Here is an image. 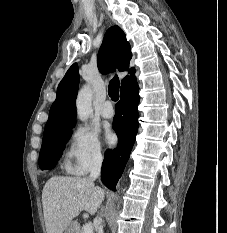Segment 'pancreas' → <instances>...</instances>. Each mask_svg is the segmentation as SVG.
Masks as SVG:
<instances>
[{
  "mask_svg": "<svg viewBox=\"0 0 227 233\" xmlns=\"http://www.w3.org/2000/svg\"><path fill=\"white\" fill-rule=\"evenodd\" d=\"M79 233H83L82 229H81V230H79Z\"/></svg>",
  "mask_w": 227,
  "mask_h": 233,
  "instance_id": "obj_1",
  "label": "pancreas"
}]
</instances>
